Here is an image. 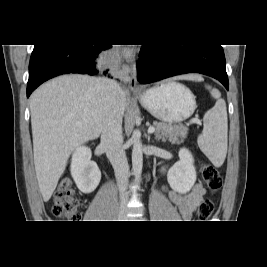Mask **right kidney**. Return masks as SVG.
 <instances>
[{
  "mask_svg": "<svg viewBox=\"0 0 267 267\" xmlns=\"http://www.w3.org/2000/svg\"><path fill=\"white\" fill-rule=\"evenodd\" d=\"M91 149L86 146L76 148L71 160V176L78 189L85 193L93 192L101 180L97 164L91 161Z\"/></svg>",
  "mask_w": 267,
  "mask_h": 267,
  "instance_id": "ca27d5eb",
  "label": "right kidney"
}]
</instances>
